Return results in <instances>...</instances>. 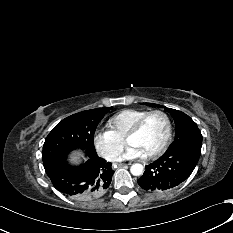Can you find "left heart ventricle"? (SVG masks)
I'll return each instance as SVG.
<instances>
[{
  "instance_id": "b2bd125f",
  "label": "left heart ventricle",
  "mask_w": 233,
  "mask_h": 233,
  "mask_svg": "<svg viewBox=\"0 0 233 233\" xmlns=\"http://www.w3.org/2000/svg\"><path fill=\"white\" fill-rule=\"evenodd\" d=\"M166 132L165 118L160 114H153L146 119L141 130L129 138L128 144L136 146L144 155H147L160 146Z\"/></svg>"
}]
</instances>
